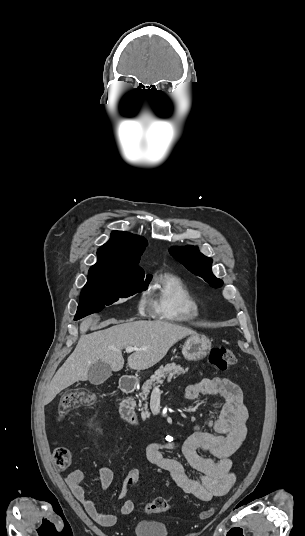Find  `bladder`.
Here are the masks:
<instances>
[{"label": "bladder", "instance_id": "31cf9c89", "mask_svg": "<svg viewBox=\"0 0 305 536\" xmlns=\"http://www.w3.org/2000/svg\"><path fill=\"white\" fill-rule=\"evenodd\" d=\"M135 536H170L169 524L151 519H139L133 524Z\"/></svg>", "mask_w": 305, "mask_h": 536}]
</instances>
